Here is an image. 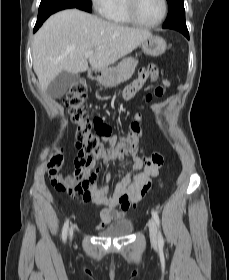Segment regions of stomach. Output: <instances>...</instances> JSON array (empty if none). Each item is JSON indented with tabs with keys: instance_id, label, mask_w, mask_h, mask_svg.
Returning a JSON list of instances; mask_svg holds the SVG:
<instances>
[{
	"instance_id": "1",
	"label": "stomach",
	"mask_w": 229,
	"mask_h": 280,
	"mask_svg": "<svg viewBox=\"0 0 229 280\" xmlns=\"http://www.w3.org/2000/svg\"><path fill=\"white\" fill-rule=\"evenodd\" d=\"M142 50L146 55L157 57L162 55L166 50V42L159 36H151L142 42ZM118 74L111 70L106 69L96 77V80L104 86H116L122 81L117 79Z\"/></svg>"
}]
</instances>
